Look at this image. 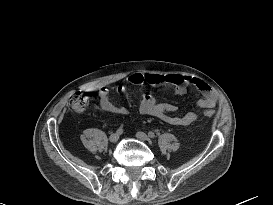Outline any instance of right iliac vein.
I'll return each mask as SVG.
<instances>
[{
	"mask_svg": "<svg viewBox=\"0 0 273 205\" xmlns=\"http://www.w3.org/2000/svg\"><path fill=\"white\" fill-rule=\"evenodd\" d=\"M119 137H120L119 133H113V134L110 135L109 141L112 142V143H115V142L118 141Z\"/></svg>",
	"mask_w": 273,
	"mask_h": 205,
	"instance_id": "obj_1",
	"label": "right iliac vein"
}]
</instances>
